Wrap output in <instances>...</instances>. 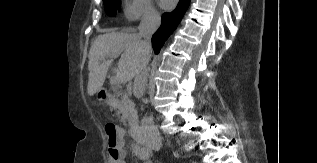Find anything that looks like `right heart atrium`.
<instances>
[{
  "instance_id": "obj_1",
  "label": "right heart atrium",
  "mask_w": 317,
  "mask_h": 163,
  "mask_svg": "<svg viewBox=\"0 0 317 163\" xmlns=\"http://www.w3.org/2000/svg\"><path fill=\"white\" fill-rule=\"evenodd\" d=\"M123 13L129 22L158 15L151 0H123Z\"/></svg>"
}]
</instances>
